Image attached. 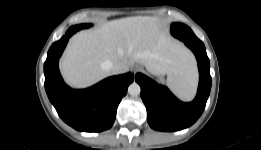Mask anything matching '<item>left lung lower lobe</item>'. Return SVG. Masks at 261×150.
Returning a JSON list of instances; mask_svg holds the SVG:
<instances>
[{"label":"left lung lower lobe","mask_w":261,"mask_h":150,"mask_svg":"<svg viewBox=\"0 0 261 150\" xmlns=\"http://www.w3.org/2000/svg\"><path fill=\"white\" fill-rule=\"evenodd\" d=\"M171 33L194 52L200 79L195 99L190 103H183L167 87L158 85L141 73L136 74L135 80L141 86V98L147 108L148 123L159 131H177L191 126L205 108L212 83L210 63L202 41L188 26L181 23H173Z\"/></svg>","instance_id":"1"}]
</instances>
